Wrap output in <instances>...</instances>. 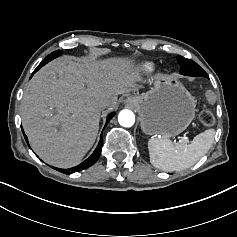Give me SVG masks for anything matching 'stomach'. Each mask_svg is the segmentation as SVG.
<instances>
[{
	"label": "stomach",
	"mask_w": 237,
	"mask_h": 237,
	"mask_svg": "<svg viewBox=\"0 0 237 237\" xmlns=\"http://www.w3.org/2000/svg\"><path fill=\"white\" fill-rule=\"evenodd\" d=\"M128 101L139 114L142 131L149 135H178L195 117V97L173 76L156 75L149 91Z\"/></svg>",
	"instance_id": "1"
}]
</instances>
